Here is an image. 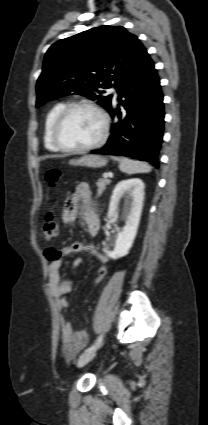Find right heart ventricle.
<instances>
[{"label":"right heart ventricle","instance_id":"1","mask_svg":"<svg viewBox=\"0 0 208 425\" xmlns=\"http://www.w3.org/2000/svg\"><path fill=\"white\" fill-rule=\"evenodd\" d=\"M64 106L65 105L62 102H58V103L54 104L51 107V109L48 111V113L46 114V117H45V120H44L43 139H44L45 147L50 151H60L53 144L51 132H52V125L54 123V120Z\"/></svg>","mask_w":208,"mask_h":425}]
</instances>
